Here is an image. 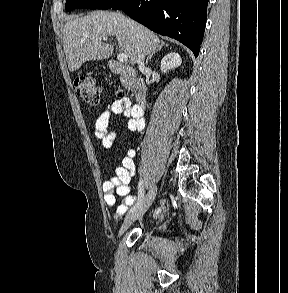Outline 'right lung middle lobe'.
I'll return each mask as SVG.
<instances>
[{
    "label": "right lung middle lobe",
    "mask_w": 288,
    "mask_h": 293,
    "mask_svg": "<svg viewBox=\"0 0 288 293\" xmlns=\"http://www.w3.org/2000/svg\"><path fill=\"white\" fill-rule=\"evenodd\" d=\"M120 1L121 0H67L65 9L66 11L78 8L109 9Z\"/></svg>",
    "instance_id": "1"
}]
</instances>
